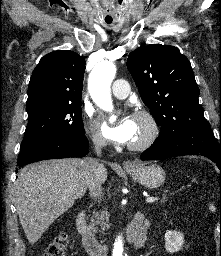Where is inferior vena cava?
I'll list each match as a JSON object with an SVG mask.
<instances>
[{"mask_svg":"<svg viewBox=\"0 0 221 256\" xmlns=\"http://www.w3.org/2000/svg\"><path fill=\"white\" fill-rule=\"evenodd\" d=\"M93 144L95 146V153L100 156L101 150L106 146V140L101 135H96L92 137ZM87 167V176L86 184L89 189L91 196L97 198L101 197L102 191V175L104 171L103 164L99 163L97 159H89V162L86 165Z\"/></svg>","mask_w":221,"mask_h":256,"instance_id":"inferior-vena-cava-1","label":"inferior vena cava"}]
</instances>
